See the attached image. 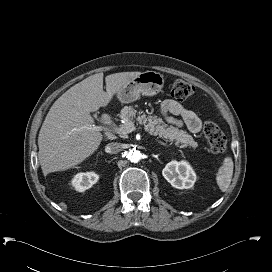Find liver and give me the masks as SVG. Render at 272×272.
I'll list each match as a JSON object with an SVG mask.
<instances>
[{
  "mask_svg": "<svg viewBox=\"0 0 272 272\" xmlns=\"http://www.w3.org/2000/svg\"><path fill=\"white\" fill-rule=\"evenodd\" d=\"M141 72H121L105 77L97 73L75 84L51 106L39 132V162L44 175L67 170L91 156L103 135L94 129L91 112L105 107Z\"/></svg>",
  "mask_w": 272,
  "mask_h": 272,
  "instance_id": "liver-1",
  "label": "liver"
}]
</instances>
